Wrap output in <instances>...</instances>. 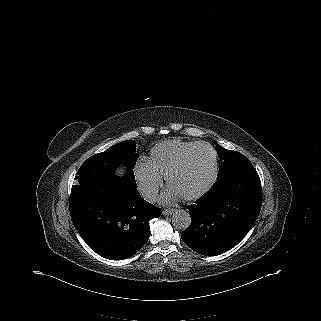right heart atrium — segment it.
<instances>
[{"mask_svg":"<svg viewBox=\"0 0 321 321\" xmlns=\"http://www.w3.org/2000/svg\"><path fill=\"white\" fill-rule=\"evenodd\" d=\"M135 180L143 195L153 200L162 185V177L158 175L151 167L148 159H139L133 169Z\"/></svg>","mask_w":321,"mask_h":321,"instance_id":"right-heart-atrium-1","label":"right heart atrium"}]
</instances>
